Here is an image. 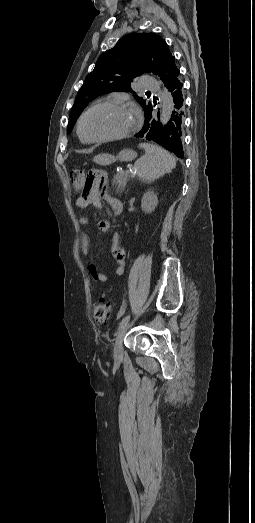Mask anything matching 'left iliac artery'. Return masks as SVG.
I'll use <instances>...</instances> for the list:
<instances>
[{
  "mask_svg": "<svg viewBox=\"0 0 255 523\" xmlns=\"http://www.w3.org/2000/svg\"><path fill=\"white\" fill-rule=\"evenodd\" d=\"M130 320V315H127L126 317L123 318V320L120 322V325L119 327L122 328L123 326H125Z\"/></svg>",
  "mask_w": 255,
  "mask_h": 523,
  "instance_id": "left-iliac-artery-1",
  "label": "left iliac artery"
}]
</instances>
